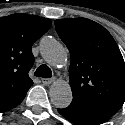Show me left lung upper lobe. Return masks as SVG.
I'll return each mask as SVG.
<instances>
[{
  "label": "left lung upper lobe",
  "mask_w": 125,
  "mask_h": 125,
  "mask_svg": "<svg viewBox=\"0 0 125 125\" xmlns=\"http://www.w3.org/2000/svg\"><path fill=\"white\" fill-rule=\"evenodd\" d=\"M71 55L69 107L113 106L125 101V63L110 33L86 18L55 20Z\"/></svg>",
  "instance_id": "5c2ea615"
}]
</instances>
